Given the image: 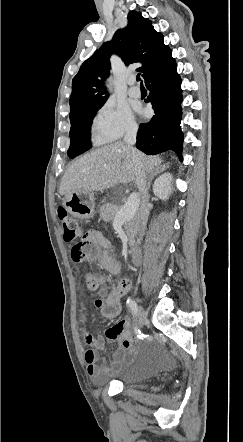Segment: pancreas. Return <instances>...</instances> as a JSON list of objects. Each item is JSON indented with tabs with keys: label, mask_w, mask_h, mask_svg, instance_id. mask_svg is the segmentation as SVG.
<instances>
[{
	"label": "pancreas",
	"mask_w": 243,
	"mask_h": 442,
	"mask_svg": "<svg viewBox=\"0 0 243 442\" xmlns=\"http://www.w3.org/2000/svg\"><path fill=\"white\" fill-rule=\"evenodd\" d=\"M121 209V207L116 206L111 203H105L99 211L100 217L105 221H113L116 213ZM124 228L129 235L130 245H133L135 242V235L137 234V216H133L132 218L125 220Z\"/></svg>",
	"instance_id": "obj_1"
}]
</instances>
